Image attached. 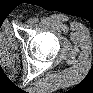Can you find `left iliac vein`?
Masks as SVG:
<instances>
[{
  "instance_id": "left-iliac-vein-1",
  "label": "left iliac vein",
  "mask_w": 93,
  "mask_h": 93,
  "mask_svg": "<svg viewBox=\"0 0 93 93\" xmlns=\"http://www.w3.org/2000/svg\"><path fill=\"white\" fill-rule=\"evenodd\" d=\"M27 22H28L29 25H32L34 23V20L32 18H30V19H28Z\"/></svg>"
}]
</instances>
